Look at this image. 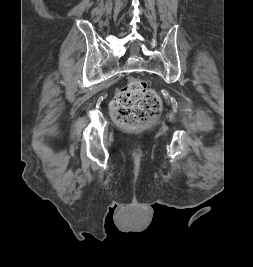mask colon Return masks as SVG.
<instances>
[{"label":"colon","mask_w":253,"mask_h":267,"mask_svg":"<svg viewBox=\"0 0 253 267\" xmlns=\"http://www.w3.org/2000/svg\"><path fill=\"white\" fill-rule=\"evenodd\" d=\"M161 106L158 94L145 81L134 78L117 92L111 113L118 125L136 129L154 119Z\"/></svg>","instance_id":"obj_1"}]
</instances>
